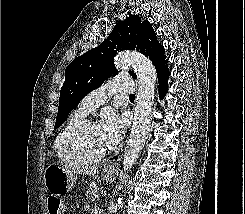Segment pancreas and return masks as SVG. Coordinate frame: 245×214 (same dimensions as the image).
Wrapping results in <instances>:
<instances>
[{
  "instance_id": "1",
  "label": "pancreas",
  "mask_w": 245,
  "mask_h": 214,
  "mask_svg": "<svg viewBox=\"0 0 245 214\" xmlns=\"http://www.w3.org/2000/svg\"><path fill=\"white\" fill-rule=\"evenodd\" d=\"M99 190L100 188L96 184H91L86 192L89 199L94 201L96 198H99Z\"/></svg>"
}]
</instances>
